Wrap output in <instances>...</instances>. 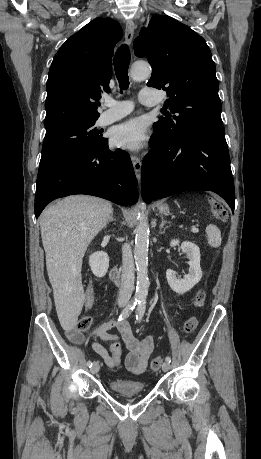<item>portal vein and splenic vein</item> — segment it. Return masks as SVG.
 <instances>
[{
    "instance_id": "1",
    "label": "portal vein and splenic vein",
    "mask_w": 261,
    "mask_h": 459,
    "mask_svg": "<svg viewBox=\"0 0 261 459\" xmlns=\"http://www.w3.org/2000/svg\"><path fill=\"white\" fill-rule=\"evenodd\" d=\"M191 232H193V233H198V232H199V229H198V228H195V227H193V228L191 229Z\"/></svg>"
}]
</instances>
